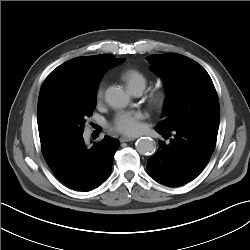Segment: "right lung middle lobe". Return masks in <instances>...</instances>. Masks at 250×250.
<instances>
[{
    "label": "right lung middle lobe",
    "instance_id": "right-lung-middle-lobe-1",
    "mask_svg": "<svg viewBox=\"0 0 250 250\" xmlns=\"http://www.w3.org/2000/svg\"><path fill=\"white\" fill-rule=\"evenodd\" d=\"M96 93L97 88L76 93L64 101L45 121L40 140L82 134L86 118L95 108Z\"/></svg>",
    "mask_w": 250,
    "mask_h": 250
}]
</instances>
